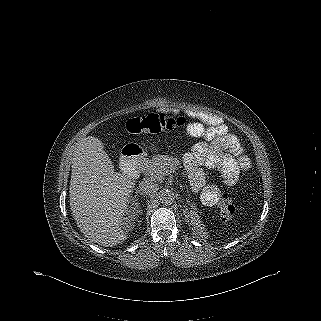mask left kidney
I'll use <instances>...</instances> for the list:
<instances>
[{
  "label": "left kidney",
  "mask_w": 321,
  "mask_h": 321,
  "mask_svg": "<svg viewBox=\"0 0 321 321\" xmlns=\"http://www.w3.org/2000/svg\"><path fill=\"white\" fill-rule=\"evenodd\" d=\"M191 219H192L191 222H192L194 228L197 229V232L199 234H202V236H205L206 230H205V227L201 226L202 224L199 220V217L191 213Z\"/></svg>",
  "instance_id": "1"
}]
</instances>
